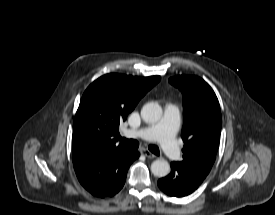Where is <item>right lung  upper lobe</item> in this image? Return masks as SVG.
I'll use <instances>...</instances> for the list:
<instances>
[{
	"label": "right lung upper lobe",
	"mask_w": 275,
	"mask_h": 215,
	"mask_svg": "<svg viewBox=\"0 0 275 215\" xmlns=\"http://www.w3.org/2000/svg\"><path fill=\"white\" fill-rule=\"evenodd\" d=\"M160 76L133 77L106 74L84 92L74 119L72 160L74 169L101 153L126 149L117 145L118 126Z\"/></svg>",
	"instance_id": "1"
}]
</instances>
